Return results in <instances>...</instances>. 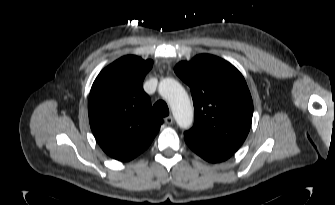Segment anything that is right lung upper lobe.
Listing matches in <instances>:
<instances>
[{
  "mask_svg": "<svg viewBox=\"0 0 335 205\" xmlns=\"http://www.w3.org/2000/svg\"><path fill=\"white\" fill-rule=\"evenodd\" d=\"M152 60L124 56L95 79L89 95V122L103 151L119 161H129L148 148L163 119L151 110L142 88Z\"/></svg>",
  "mask_w": 335,
  "mask_h": 205,
  "instance_id": "obj_1",
  "label": "right lung upper lobe"
}]
</instances>
